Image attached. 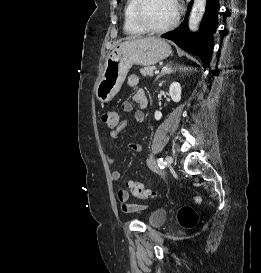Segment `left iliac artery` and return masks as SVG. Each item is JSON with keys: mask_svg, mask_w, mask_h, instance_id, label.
Returning <instances> with one entry per match:
<instances>
[{"mask_svg": "<svg viewBox=\"0 0 261 273\" xmlns=\"http://www.w3.org/2000/svg\"><path fill=\"white\" fill-rule=\"evenodd\" d=\"M157 163H158V166H159L161 169H163V168L165 167V165L167 164V163L165 162V160H163L162 158H159V159L157 160Z\"/></svg>", "mask_w": 261, "mask_h": 273, "instance_id": "obj_1", "label": "left iliac artery"}]
</instances>
